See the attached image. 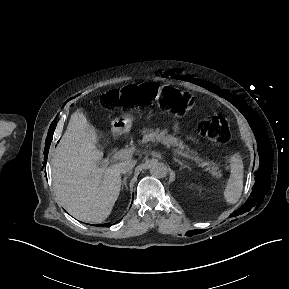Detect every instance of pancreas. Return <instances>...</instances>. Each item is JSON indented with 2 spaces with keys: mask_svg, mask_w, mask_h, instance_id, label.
Here are the masks:
<instances>
[{
  "mask_svg": "<svg viewBox=\"0 0 289 289\" xmlns=\"http://www.w3.org/2000/svg\"><path fill=\"white\" fill-rule=\"evenodd\" d=\"M148 141H158L163 144L174 146V151L180 154H185L189 159L199 160L202 162V159L198 156L197 152L189 149L187 145H185L181 140L175 138L170 135H166L165 131H161L159 129H144L143 130V142L146 143ZM179 154V155H180ZM187 158V157H186ZM206 170L215 178H220L222 176L221 170L219 167L213 162H204Z\"/></svg>",
  "mask_w": 289,
  "mask_h": 289,
  "instance_id": "pancreas-1",
  "label": "pancreas"
}]
</instances>
